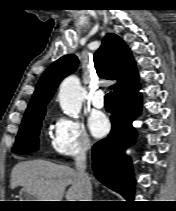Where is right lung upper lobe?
<instances>
[{
	"label": "right lung upper lobe",
	"instance_id": "obj_1",
	"mask_svg": "<svg viewBox=\"0 0 176 211\" xmlns=\"http://www.w3.org/2000/svg\"><path fill=\"white\" fill-rule=\"evenodd\" d=\"M97 74L105 79H117V84L111 86L114 97L130 94L140 85L138 73L132 54L126 43L116 34H107L102 46L94 55ZM78 66V58L74 54L61 57L50 65L38 81L36 90L29 102L24 117L46 111L60 81L73 73Z\"/></svg>",
	"mask_w": 176,
	"mask_h": 211
}]
</instances>
